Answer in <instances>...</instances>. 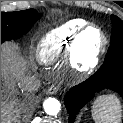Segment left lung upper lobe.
I'll return each mask as SVG.
<instances>
[{
	"label": "left lung upper lobe",
	"instance_id": "obj_1",
	"mask_svg": "<svg viewBox=\"0 0 123 123\" xmlns=\"http://www.w3.org/2000/svg\"><path fill=\"white\" fill-rule=\"evenodd\" d=\"M111 20V43L102 65L108 70L123 68V21L114 15H111Z\"/></svg>",
	"mask_w": 123,
	"mask_h": 123
}]
</instances>
